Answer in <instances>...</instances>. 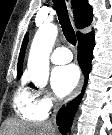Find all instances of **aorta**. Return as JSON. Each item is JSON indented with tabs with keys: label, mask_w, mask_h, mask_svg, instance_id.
Instances as JSON below:
<instances>
[{
	"label": "aorta",
	"mask_w": 112,
	"mask_h": 135,
	"mask_svg": "<svg viewBox=\"0 0 112 135\" xmlns=\"http://www.w3.org/2000/svg\"><path fill=\"white\" fill-rule=\"evenodd\" d=\"M58 34L54 24L41 26L33 39L27 68L35 86L44 88L49 79V56Z\"/></svg>",
	"instance_id": "aorta-1"
}]
</instances>
